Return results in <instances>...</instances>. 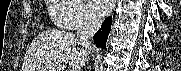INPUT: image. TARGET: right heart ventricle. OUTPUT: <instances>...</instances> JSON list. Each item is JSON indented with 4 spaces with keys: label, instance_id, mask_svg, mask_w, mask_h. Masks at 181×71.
<instances>
[{
    "label": "right heart ventricle",
    "instance_id": "e07e8e85",
    "mask_svg": "<svg viewBox=\"0 0 181 71\" xmlns=\"http://www.w3.org/2000/svg\"><path fill=\"white\" fill-rule=\"evenodd\" d=\"M63 7L55 2H52L50 6V14L52 17V20L54 21L55 24H57L60 27H63L60 23V17L63 12Z\"/></svg>",
    "mask_w": 181,
    "mask_h": 71
}]
</instances>
